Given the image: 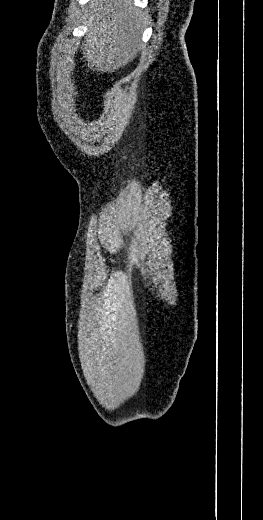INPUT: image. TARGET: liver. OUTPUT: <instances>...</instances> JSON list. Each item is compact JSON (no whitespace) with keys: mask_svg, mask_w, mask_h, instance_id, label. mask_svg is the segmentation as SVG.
<instances>
[{"mask_svg":"<svg viewBox=\"0 0 263 520\" xmlns=\"http://www.w3.org/2000/svg\"><path fill=\"white\" fill-rule=\"evenodd\" d=\"M146 22L147 14L131 0H99L91 11L82 48L88 68L111 73L133 61Z\"/></svg>","mask_w":263,"mask_h":520,"instance_id":"1","label":"liver"}]
</instances>
